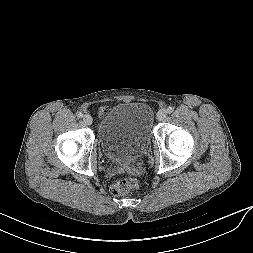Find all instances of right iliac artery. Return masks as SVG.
Returning <instances> with one entry per match:
<instances>
[{
    "label": "right iliac artery",
    "mask_w": 253,
    "mask_h": 253,
    "mask_svg": "<svg viewBox=\"0 0 253 253\" xmlns=\"http://www.w3.org/2000/svg\"><path fill=\"white\" fill-rule=\"evenodd\" d=\"M76 115H77V117H78V118H82V117H83V113H82V112H80V111H79V112H77V113H76Z\"/></svg>",
    "instance_id": "obj_1"
}]
</instances>
